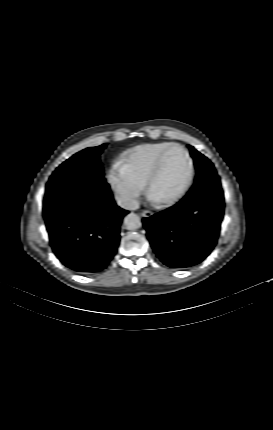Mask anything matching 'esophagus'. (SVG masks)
Instances as JSON below:
<instances>
[{
	"instance_id": "esophagus-1",
	"label": "esophagus",
	"mask_w": 273,
	"mask_h": 430,
	"mask_svg": "<svg viewBox=\"0 0 273 430\" xmlns=\"http://www.w3.org/2000/svg\"><path fill=\"white\" fill-rule=\"evenodd\" d=\"M141 215H142L143 217L150 218V217L153 215V213H152L151 211H149V210H144V211L141 213Z\"/></svg>"
}]
</instances>
